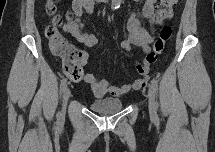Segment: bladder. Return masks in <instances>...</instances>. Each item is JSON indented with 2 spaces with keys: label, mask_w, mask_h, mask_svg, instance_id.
I'll list each match as a JSON object with an SVG mask.
<instances>
[{
  "label": "bladder",
  "mask_w": 215,
  "mask_h": 152,
  "mask_svg": "<svg viewBox=\"0 0 215 152\" xmlns=\"http://www.w3.org/2000/svg\"><path fill=\"white\" fill-rule=\"evenodd\" d=\"M124 102L113 98H101L92 102L91 109L99 114H113L120 112Z\"/></svg>",
  "instance_id": "31cf9c89"
}]
</instances>
